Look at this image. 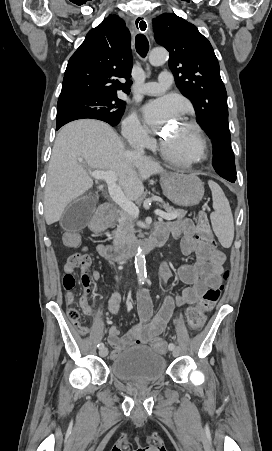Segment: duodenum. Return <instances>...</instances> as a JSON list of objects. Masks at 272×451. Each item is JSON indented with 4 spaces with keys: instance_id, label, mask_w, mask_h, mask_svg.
Instances as JSON below:
<instances>
[{
    "instance_id": "410a0bca",
    "label": "duodenum",
    "mask_w": 272,
    "mask_h": 451,
    "mask_svg": "<svg viewBox=\"0 0 272 451\" xmlns=\"http://www.w3.org/2000/svg\"><path fill=\"white\" fill-rule=\"evenodd\" d=\"M118 218V210L112 204H104L91 222L93 232H101L112 225ZM164 240L161 237L153 236L144 243H134L131 245L103 247L101 254L114 261H121L137 254L138 250L150 251L162 246Z\"/></svg>"
}]
</instances>
